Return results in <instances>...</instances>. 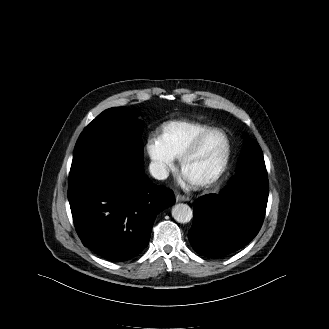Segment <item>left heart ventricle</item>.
Here are the masks:
<instances>
[{
	"label": "left heart ventricle",
	"instance_id": "1",
	"mask_svg": "<svg viewBox=\"0 0 329 329\" xmlns=\"http://www.w3.org/2000/svg\"><path fill=\"white\" fill-rule=\"evenodd\" d=\"M226 150L221 133H213L201 144L198 152L186 163L183 175L191 182L205 180L219 168Z\"/></svg>",
	"mask_w": 329,
	"mask_h": 329
}]
</instances>
